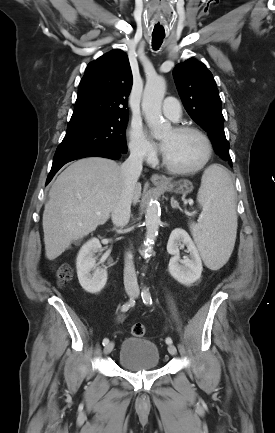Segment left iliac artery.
<instances>
[{
    "label": "left iliac artery",
    "mask_w": 275,
    "mask_h": 433,
    "mask_svg": "<svg viewBox=\"0 0 275 433\" xmlns=\"http://www.w3.org/2000/svg\"><path fill=\"white\" fill-rule=\"evenodd\" d=\"M141 296H142L144 304H146V305L152 304L151 294H150L149 289L147 287H144L142 289ZM166 343L172 344V339L170 337L166 338Z\"/></svg>",
    "instance_id": "44dca946"
}]
</instances>
